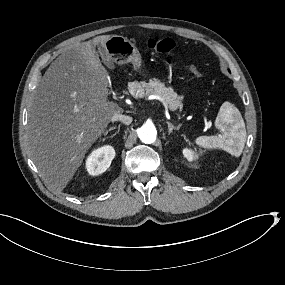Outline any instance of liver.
Here are the masks:
<instances>
[{
    "label": "liver",
    "mask_w": 285,
    "mask_h": 285,
    "mask_svg": "<svg viewBox=\"0 0 285 285\" xmlns=\"http://www.w3.org/2000/svg\"><path fill=\"white\" fill-rule=\"evenodd\" d=\"M107 36L77 43L62 53L38 83L28 114L27 148L52 189L62 191L114 114L108 100L109 74L96 55ZM102 60L110 61L106 51Z\"/></svg>",
    "instance_id": "obj_1"
}]
</instances>
